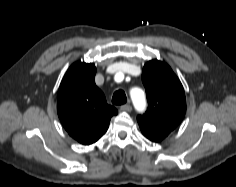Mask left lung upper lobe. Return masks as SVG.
<instances>
[{
	"mask_svg": "<svg viewBox=\"0 0 236 187\" xmlns=\"http://www.w3.org/2000/svg\"><path fill=\"white\" fill-rule=\"evenodd\" d=\"M142 82L146 89L148 108L143 115H138L137 121L145 137L160 142L184 118L185 92L172 69L158 60L145 64Z\"/></svg>",
	"mask_w": 236,
	"mask_h": 187,
	"instance_id": "left-lung-upper-lobe-1",
	"label": "left lung upper lobe"
}]
</instances>
